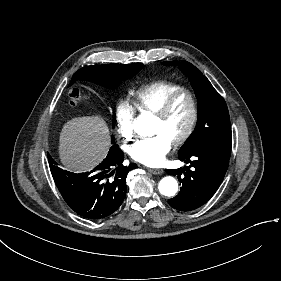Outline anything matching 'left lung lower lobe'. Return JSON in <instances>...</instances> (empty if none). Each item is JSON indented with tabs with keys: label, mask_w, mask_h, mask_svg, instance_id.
I'll use <instances>...</instances> for the list:
<instances>
[{
	"label": "left lung lower lobe",
	"mask_w": 281,
	"mask_h": 281,
	"mask_svg": "<svg viewBox=\"0 0 281 281\" xmlns=\"http://www.w3.org/2000/svg\"><path fill=\"white\" fill-rule=\"evenodd\" d=\"M178 158L191 165L166 170L168 174L178 175L182 183L179 194L168 203L177 210L191 211L204 205L215 194L227 171L229 158L205 149L180 154Z\"/></svg>",
	"instance_id": "1"
}]
</instances>
